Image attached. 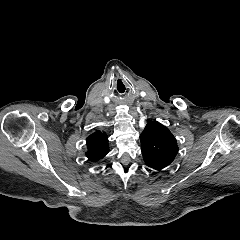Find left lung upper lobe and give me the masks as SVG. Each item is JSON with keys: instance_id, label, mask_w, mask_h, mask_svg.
I'll list each match as a JSON object with an SVG mask.
<instances>
[{"instance_id": "1", "label": "left lung upper lobe", "mask_w": 240, "mask_h": 240, "mask_svg": "<svg viewBox=\"0 0 240 240\" xmlns=\"http://www.w3.org/2000/svg\"><path fill=\"white\" fill-rule=\"evenodd\" d=\"M140 140L144 161L154 170L166 168L178 153L175 137L159 122H149L141 133Z\"/></svg>"}]
</instances>
